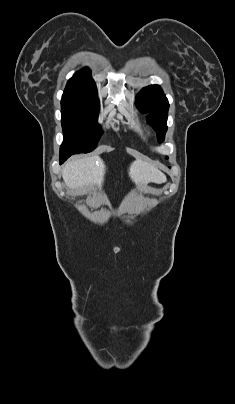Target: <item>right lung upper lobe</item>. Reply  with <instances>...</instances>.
I'll list each match as a JSON object with an SVG mask.
<instances>
[{"instance_id":"cb5924a9","label":"right lung upper lobe","mask_w":235,"mask_h":404,"mask_svg":"<svg viewBox=\"0 0 235 404\" xmlns=\"http://www.w3.org/2000/svg\"><path fill=\"white\" fill-rule=\"evenodd\" d=\"M62 99L80 102H98L97 88L89 68L76 72L67 82Z\"/></svg>"}]
</instances>
